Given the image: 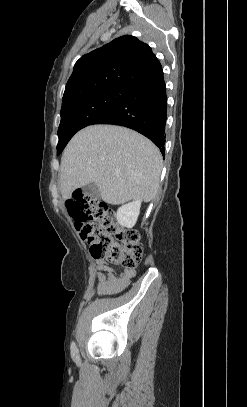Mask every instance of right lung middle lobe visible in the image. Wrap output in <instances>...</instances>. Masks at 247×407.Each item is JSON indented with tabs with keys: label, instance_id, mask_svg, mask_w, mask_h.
I'll use <instances>...</instances> for the list:
<instances>
[{
	"label": "right lung middle lobe",
	"instance_id": "obj_1",
	"mask_svg": "<svg viewBox=\"0 0 247 407\" xmlns=\"http://www.w3.org/2000/svg\"><path fill=\"white\" fill-rule=\"evenodd\" d=\"M134 90L124 86L109 87L63 105L58 128L57 155L63 151L76 132L93 124Z\"/></svg>",
	"mask_w": 247,
	"mask_h": 407
}]
</instances>
